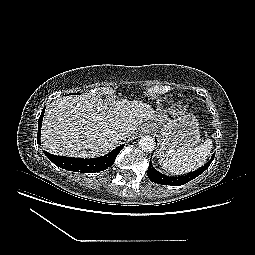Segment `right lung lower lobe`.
I'll return each mask as SVG.
<instances>
[{"label":"right lung lower lobe","mask_w":255,"mask_h":255,"mask_svg":"<svg viewBox=\"0 0 255 255\" xmlns=\"http://www.w3.org/2000/svg\"><path fill=\"white\" fill-rule=\"evenodd\" d=\"M44 111L45 109L42 111L38 120L37 142L39 144ZM123 147L124 145H121L105 156L92 159L57 156L50 154L46 151H44V154L49 158V160H51L55 165L60 168L73 172L94 173L106 170L108 167H111Z\"/></svg>","instance_id":"right-lung-lower-lobe-1"}]
</instances>
